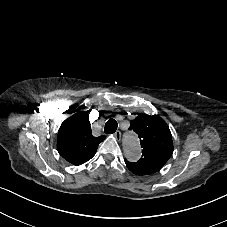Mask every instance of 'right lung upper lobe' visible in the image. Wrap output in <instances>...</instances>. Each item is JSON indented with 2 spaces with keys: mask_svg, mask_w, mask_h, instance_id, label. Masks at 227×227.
<instances>
[{
  "mask_svg": "<svg viewBox=\"0 0 227 227\" xmlns=\"http://www.w3.org/2000/svg\"><path fill=\"white\" fill-rule=\"evenodd\" d=\"M105 136L94 137L87 112L81 111L66 119L57 137L59 154L68 162L80 165L90 160Z\"/></svg>",
  "mask_w": 227,
  "mask_h": 227,
  "instance_id": "cb5924a9",
  "label": "right lung upper lobe"
}]
</instances>
